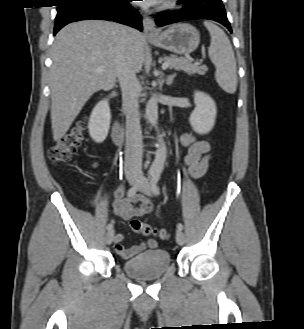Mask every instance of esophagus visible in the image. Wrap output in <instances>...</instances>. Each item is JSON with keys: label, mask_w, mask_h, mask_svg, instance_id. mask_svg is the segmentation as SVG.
<instances>
[{"label": "esophagus", "mask_w": 304, "mask_h": 329, "mask_svg": "<svg viewBox=\"0 0 304 329\" xmlns=\"http://www.w3.org/2000/svg\"><path fill=\"white\" fill-rule=\"evenodd\" d=\"M143 31L147 37H153L158 34L154 20L146 15L143 17Z\"/></svg>", "instance_id": "34e87169"}]
</instances>
